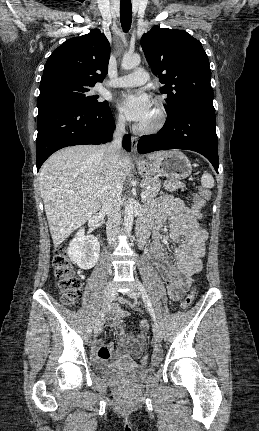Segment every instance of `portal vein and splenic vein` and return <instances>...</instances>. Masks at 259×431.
<instances>
[{"instance_id":"18ae733b","label":"portal vein and splenic vein","mask_w":259,"mask_h":431,"mask_svg":"<svg viewBox=\"0 0 259 431\" xmlns=\"http://www.w3.org/2000/svg\"><path fill=\"white\" fill-rule=\"evenodd\" d=\"M141 197H142V198H146V197H147V192H146V191H143V192L141 193Z\"/></svg>"}]
</instances>
